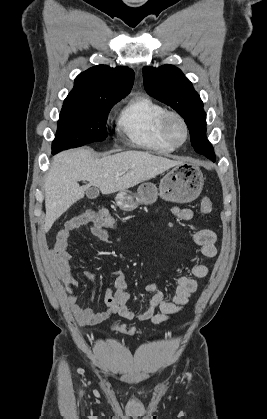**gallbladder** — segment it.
I'll return each mask as SVG.
<instances>
[{
  "instance_id": "gallbladder-1",
  "label": "gallbladder",
  "mask_w": 267,
  "mask_h": 419,
  "mask_svg": "<svg viewBox=\"0 0 267 419\" xmlns=\"http://www.w3.org/2000/svg\"><path fill=\"white\" fill-rule=\"evenodd\" d=\"M86 195L89 199H94L99 195V189L97 187H90L86 189Z\"/></svg>"
}]
</instances>
